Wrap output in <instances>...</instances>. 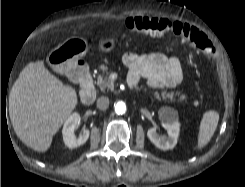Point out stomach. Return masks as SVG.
<instances>
[{
  "mask_svg": "<svg viewBox=\"0 0 245 187\" xmlns=\"http://www.w3.org/2000/svg\"><path fill=\"white\" fill-rule=\"evenodd\" d=\"M116 43L114 38L104 39L99 43V49L104 53L111 52ZM87 50V42L83 38H69L49 53L47 63L54 71L65 74L77 65Z\"/></svg>",
  "mask_w": 245,
  "mask_h": 187,
  "instance_id": "stomach-1",
  "label": "stomach"
}]
</instances>
